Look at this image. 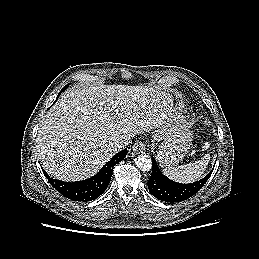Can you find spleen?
Returning a JSON list of instances; mask_svg holds the SVG:
<instances>
[{"label":"spleen","mask_w":259,"mask_h":259,"mask_svg":"<svg viewBox=\"0 0 259 259\" xmlns=\"http://www.w3.org/2000/svg\"><path fill=\"white\" fill-rule=\"evenodd\" d=\"M209 161L210 155L206 154L202 159L197 160L194 163H189L177 167H166L163 169V173L170 179L177 182H194L202 176L209 164Z\"/></svg>","instance_id":"obj_1"}]
</instances>
